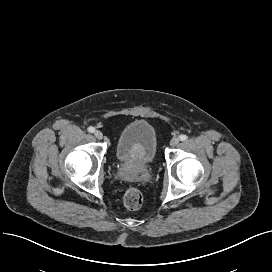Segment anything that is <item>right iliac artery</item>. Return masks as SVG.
<instances>
[{
    "label": "right iliac artery",
    "instance_id": "1",
    "mask_svg": "<svg viewBox=\"0 0 272 272\" xmlns=\"http://www.w3.org/2000/svg\"><path fill=\"white\" fill-rule=\"evenodd\" d=\"M88 131L91 132V133H93L95 131V128L94 127H89Z\"/></svg>",
    "mask_w": 272,
    "mask_h": 272
}]
</instances>
